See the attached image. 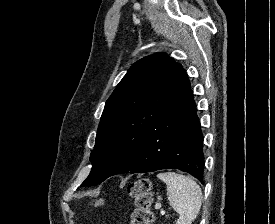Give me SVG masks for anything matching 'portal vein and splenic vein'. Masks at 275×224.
I'll return each mask as SVG.
<instances>
[{
	"instance_id": "portal-vein-and-splenic-vein-1",
	"label": "portal vein and splenic vein",
	"mask_w": 275,
	"mask_h": 224,
	"mask_svg": "<svg viewBox=\"0 0 275 224\" xmlns=\"http://www.w3.org/2000/svg\"><path fill=\"white\" fill-rule=\"evenodd\" d=\"M160 213H161L162 215H164V214H165V211H164V210H162Z\"/></svg>"
}]
</instances>
